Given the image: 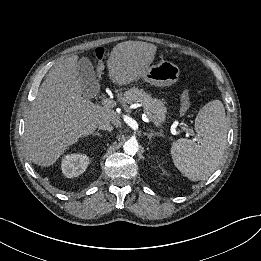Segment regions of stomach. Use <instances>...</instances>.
I'll return each mask as SVG.
<instances>
[{"instance_id":"obj_1","label":"stomach","mask_w":261,"mask_h":261,"mask_svg":"<svg viewBox=\"0 0 261 261\" xmlns=\"http://www.w3.org/2000/svg\"><path fill=\"white\" fill-rule=\"evenodd\" d=\"M180 76V69L170 61H162L150 66L140 79L158 87H167L175 84Z\"/></svg>"}]
</instances>
